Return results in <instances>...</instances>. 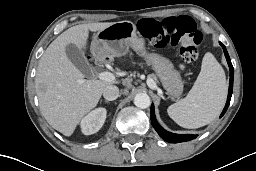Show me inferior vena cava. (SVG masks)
I'll return each mask as SVG.
<instances>
[{"mask_svg":"<svg viewBox=\"0 0 256 171\" xmlns=\"http://www.w3.org/2000/svg\"><path fill=\"white\" fill-rule=\"evenodd\" d=\"M119 96V89L117 86L108 85L103 90V97L108 101H113Z\"/></svg>","mask_w":256,"mask_h":171,"instance_id":"inferior-vena-cava-1","label":"inferior vena cava"}]
</instances>
